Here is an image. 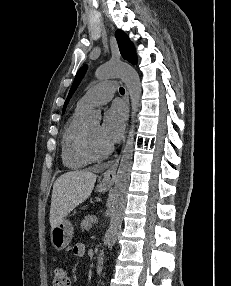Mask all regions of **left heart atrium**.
Masks as SVG:
<instances>
[{
    "label": "left heart atrium",
    "mask_w": 231,
    "mask_h": 286,
    "mask_svg": "<svg viewBox=\"0 0 231 286\" xmlns=\"http://www.w3.org/2000/svg\"><path fill=\"white\" fill-rule=\"evenodd\" d=\"M126 111L121 105H114L104 115L99 128L101 139L109 146L118 142L124 132Z\"/></svg>",
    "instance_id": "left-heart-atrium-1"
}]
</instances>
